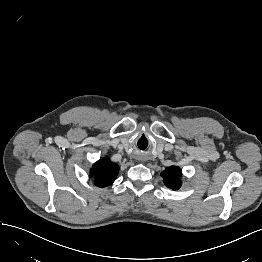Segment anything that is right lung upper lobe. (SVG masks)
I'll return each mask as SVG.
<instances>
[{"label": "right lung upper lobe", "instance_id": "cb5924a9", "mask_svg": "<svg viewBox=\"0 0 262 262\" xmlns=\"http://www.w3.org/2000/svg\"><path fill=\"white\" fill-rule=\"evenodd\" d=\"M119 172L118 165L109 161V159L99 160L94 164L91 174L95 179V184L99 187H105L114 182Z\"/></svg>", "mask_w": 262, "mask_h": 262}]
</instances>
